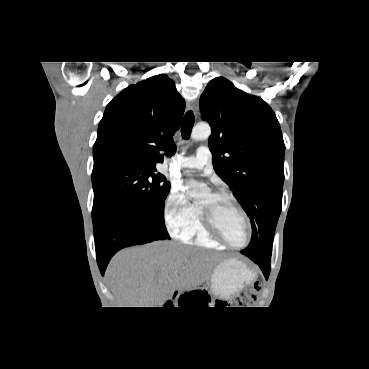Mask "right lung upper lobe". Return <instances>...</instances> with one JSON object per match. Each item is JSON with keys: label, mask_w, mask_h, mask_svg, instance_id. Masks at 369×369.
<instances>
[{"label": "right lung upper lobe", "mask_w": 369, "mask_h": 369, "mask_svg": "<svg viewBox=\"0 0 369 369\" xmlns=\"http://www.w3.org/2000/svg\"><path fill=\"white\" fill-rule=\"evenodd\" d=\"M185 101L165 74L121 91L106 107L93 146L94 166L131 164L155 169L175 153Z\"/></svg>", "instance_id": "cb5924a9"}]
</instances>
